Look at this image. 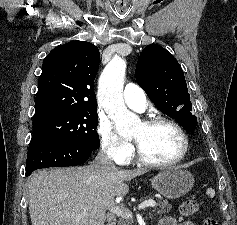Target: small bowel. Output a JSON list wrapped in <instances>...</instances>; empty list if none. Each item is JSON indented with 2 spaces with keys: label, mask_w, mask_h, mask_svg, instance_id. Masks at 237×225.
<instances>
[{
  "label": "small bowel",
  "mask_w": 237,
  "mask_h": 225,
  "mask_svg": "<svg viewBox=\"0 0 237 225\" xmlns=\"http://www.w3.org/2000/svg\"><path fill=\"white\" fill-rule=\"evenodd\" d=\"M159 225H197L194 222L191 221H178L173 217H164Z\"/></svg>",
  "instance_id": "obj_1"
}]
</instances>
